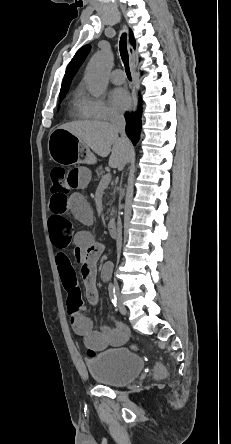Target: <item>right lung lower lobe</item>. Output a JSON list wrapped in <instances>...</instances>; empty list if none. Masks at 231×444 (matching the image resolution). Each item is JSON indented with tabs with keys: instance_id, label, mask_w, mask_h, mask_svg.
<instances>
[{
	"instance_id": "obj_1",
	"label": "right lung lower lobe",
	"mask_w": 231,
	"mask_h": 444,
	"mask_svg": "<svg viewBox=\"0 0 231 444\" xmlns=\"http://www.w3.org/2000/svg\"><path fill=\"white\" fill-rule=\"evenodd\" d=\"M126 134L131 139L133 144L139 140L141 132V111L136 113H131V115L126 114Z\"/></svg>"
}]
</instances>
